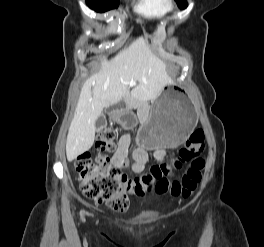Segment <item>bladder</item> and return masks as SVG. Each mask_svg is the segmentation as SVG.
Instances as JSON below:
<instances>
[{"label":"bladder","instance_id":"31cf9c89","mask_svg":"<svg viewBox=\"0 0 264 247\" xmlns=\"http://www.w3.org/2000/svg\"><path fill=\"white\" fill-rule=\"evenodd\" d=\"M154 216H155V213L154 212H152V211H146V212L140 214L138 217L140 219L146 220V219H151Z\"/></svg>","mask_w":264,"mask_h":247}]
</instances>
